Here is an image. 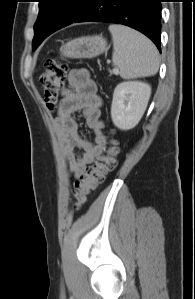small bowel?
Returning a JSON list of instances; mask_svg holds the SVG:
<instances>
[{
    "mask_svg": "<svg viewBox=\"0 0 195 299\" xmlns=\"http://www.w3.org/2000/svg\"><path fill=\"white\" fill-rule=\"evenodd\" d=\"M68 85L54 126L69 172L73 177L79 178L102 154L106 146V137L102 132L101 99L89 73L83 69L72 70L69 73ZM77 112L82 113L86 126L94 132V142L81 135L74 118ZM76 150H80L81 154L77 155Z\"/></svg>",
    "mask_w": 195,
    "mask_h": 299,
    "instance_id": "small-bowel-1",
    "label": "small bowel"
}]
</instances>
